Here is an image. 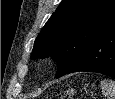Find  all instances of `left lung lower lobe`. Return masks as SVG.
<instances>
[{
    "label": "left lung lower lobe",
    "mask_w": 115,
    "mask_h": 99,
    "mask_svg": "<svg viewBox=\"0 0 115 99\" xmlns=\"http://www.w3.org/2000/svg\"><path fill=\"white\" fill-rule=\"evenodd\" d=\"M89 71L115 79V25L103 34L64 74Z\"/></svg>",
    "instance_id": "0a47b994"
}]
</instances>
